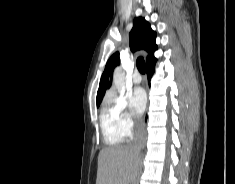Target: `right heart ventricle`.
I'll list each match as a JSON object with an SVG mask.
<instances>
[{"instance_id": "e07e8e85", "label": "right heart ventricle", "mask_w": 235, "mask_h": 184, "mask_svg": "<svg viewBox=\"0 0 235 184\" xmlns=\"http://www.w3.org/2000/svg\"><path fill=\"white\" fill-rule=\"evenodd\" d=\"M100 125L105 143L109 146L101 154V159L109 160L119 155L124 146V138L119 133L114 114L108 107H103L100 113Z\"/></svg>"}]
</instances>
